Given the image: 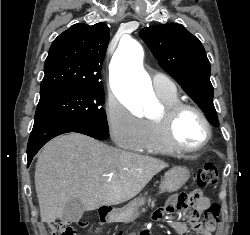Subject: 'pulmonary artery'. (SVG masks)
<instances>
[{
  "label": "pulmonary artery",
  "instance_id": "1",
  "mask_svg": "<svg viewBox=\"0 0 250 235\" xmlns=\"http://www.w3.org/2000/svg\"><path fill=\"white\" fill-rule=\"evenodd\" d=\"M153 88L155 93L169 95L176 92L174 83L162 74H156L152 77Z\"/></svg>",
  "mask_w": 250,
  "mask_h": 235
}]
</instances>
